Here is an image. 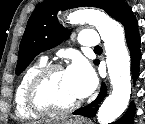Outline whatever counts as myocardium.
Returning <instances> with one entry per match:
<instances>
[{"label":"myocardium","mask_w":145,"mask_h":124,"mask_svg":"<svg viewBox=\"0 0 145 124\" xmlns=\"http://www.w3.org/2000/svg\"><path fill=\"white\" fill-rule=\"evenodd\" d=\"M59 71H65L62 65L47 64L34 75L26 91V106L31 112L39 115H61L80 106V100L67 106H58L46 96L45 86L49 78Z\"/></svg>","instance_id":"1"}]
</instances>
